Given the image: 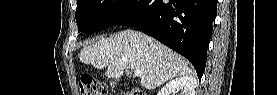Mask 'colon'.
Returning a JSON list of instances; mask_svg holds the SVG:
<instances>
[{"instance_id":"5ec220e1","label":"colon","mask_w":277,"mask_h":95,"mask_svg":"<svg viewBox=\"0 0 277 95\" xmlns=\"http://www.w3.org/2000/svg\"><path fill=\"white\" fill-rule=\"evenodd\" d=\"M80 89L84 95H105L108 94V86L101 83L90 76H82L80 78ZM132 95H145L143 91L134 90Z\"/></svg>"}]
</instances>
